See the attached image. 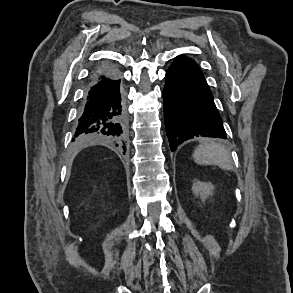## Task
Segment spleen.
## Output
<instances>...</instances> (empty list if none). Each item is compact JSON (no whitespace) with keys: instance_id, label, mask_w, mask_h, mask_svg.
Listing matches in <instances>:
<instances>
[{"instance_id":"obj_1","label":"spleen","mask_w":293,"mask_h":293,"mask_svg":"<svg viewBox=\"0 0 293 293\" xmlns=\"http://www.w3.org/2000/svg\"><path fill=\"white\" fill-rule=\"evenodd\" d=\"M193 159L201 165H217L223 170H233L231 155L221 144L212 141L202 142L194 151Z\"/></svg>"}]
</instances>
